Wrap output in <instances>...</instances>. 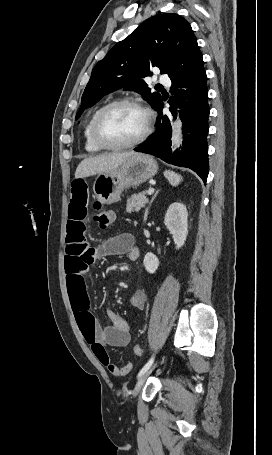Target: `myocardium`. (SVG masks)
<instances>
[{"label":"myocardium","mask_w":272,"mask_h":455,"mask_svg":"<svg viewBox=\"0 0 272 455\" xmlns=\"http://www.w3.org/2000/svg\"><path fill=\"white\" fill-rule=\"evenodd\" d=\"M120 105H130L133 106L137 109H139L145 117V125L142 133L133 141L127 142V143H122V144H113L109 143L106 140H104L100 134L99 131V123L102 118V116L111 108L120 106ZM152 128V116L150 111L138 100L131 98V97H123V98H118L115 100H112L111 102L105 104L101 108H99L91 122V137L93 142L100 147L103 150H125V149H130L134 148L141 143H143L147 137L149 136Z\"/></svg>","instance_id":"f54148a6"}]
</instances>
